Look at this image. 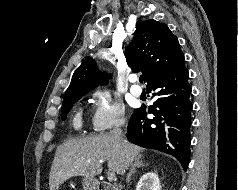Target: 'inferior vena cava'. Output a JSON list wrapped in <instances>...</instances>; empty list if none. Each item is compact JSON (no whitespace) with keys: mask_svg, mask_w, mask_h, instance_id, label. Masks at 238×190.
<instances>
[{"mask_svg":"<svg viewBox=\"0 0 238 190\" xmlns=\"http://www.w3.org/2000/svg\"><path fill=\"white\" fill-rule=\"evenodd\" d=\"M124 125V121H120L116 127L112 130L111 134L113 135V137L118 141L121 142L122 141V130H121V126Z\"/></svg>","mask_w":238,"mask_h":190,"instance_id":"1","label":"inferior vena cava"}]
</instances>
